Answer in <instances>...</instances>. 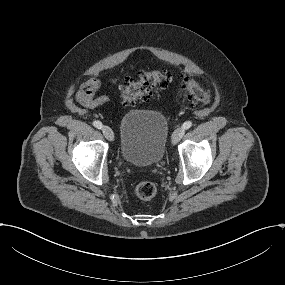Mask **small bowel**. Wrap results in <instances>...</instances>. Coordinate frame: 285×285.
<instances>
[{
  "mask_svg": "<svg viewBox=\"0 0 285 285\" xmlns=\"http://www.w3.org/2000/svg\"><path fill=\"white\" fill-rule=\"evenodd\" d=\"M120 78L121 77L112 78L110 82H116L120 80ZM101 86V81L96 77H91L80 83L75 92V101L91 109L102 106L108 101V97L106 95L96 96Z\"/></svg>",
  "mask_w": 285,
  "mask_h": 285,
  "instance_id": "c3829d8e",
  "label": "small bowel"
}]
</instances>
